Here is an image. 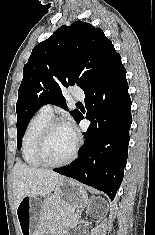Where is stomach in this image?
Here are the masks:
<instances>
[{
    "mask_svg": "<svg viewBox=\"0 0 155 235\" xmlns=\"http://www.w3.org/2000/svg\"><path fill=\"white\" fill-rule=\"evenodd\" d=\"M46 200L68 209H79L86 204L87 194L78 182L72 179H62L56 185L52 196ZM46 200L43 202L38 197L32 196H25L22 199L16 208L21 235H44L46 233L44 227V218L48 206Z\"/></svg>",
    "mask_w": 155,
    "mask_h": 235,
    "instance_id": "stomach-1",
    "label": "stomach"
}]
</instances>
